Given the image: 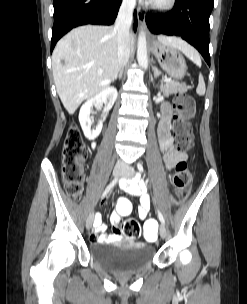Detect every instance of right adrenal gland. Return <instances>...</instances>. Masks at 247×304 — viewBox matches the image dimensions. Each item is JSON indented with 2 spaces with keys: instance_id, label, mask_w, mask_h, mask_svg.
<instances>
[{
  "instance_id": "right-adrenal-gland-1",
  "label": "right adrenal gland",
  "mask_w": 247,
  "mask_h": 304,
  "mask_svg": "<svg viewBox=\"0 0 247 304\" xmlns=\"http://www.w3.org/2000/svg\"><path fill=\"white\" fill-rule=\"evenodd\" d=\"M122 75H123V72H122V70L119 72V74L114 78V80H116L117 78H119V79H122ZM113 80V81H114Z\"/></svg>"
}]
</instances>
